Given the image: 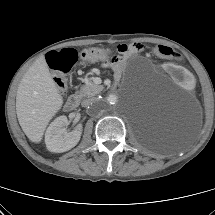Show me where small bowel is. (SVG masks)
Masks as SVG:
<instances>
[{
    "label": "small bowel",
    "instance_id": "obj_1",
    "mask_svg": "<svg viewBox=\"0 0 215 215\" xmlns=\"http://www.w3.org/2000/svg\"><path fill=\"white\" fill-rule=\"evenodd\" d=\"M135 44L137 46V49H135L134 51H130L126 54H121V56L114 57L112 60H110L108 62V64L113 65L116 75H120V73L122 71V64H123L124 58H126L132 54H137V53L143 52L145 50L144 45H142L140 43H135Z\"/></svg>",
    "mask_w": 215,
    "mask_h": 215
}]
</instances>
